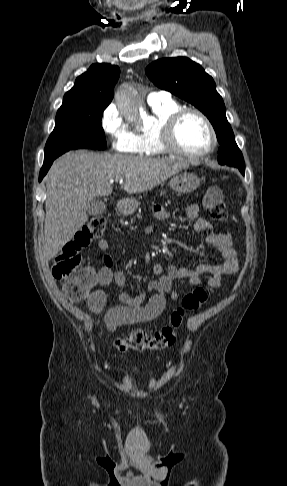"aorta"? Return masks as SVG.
<instances>
[{
    "label": "aorta",
    "instance_id": "762f6f07",
    "mask_svg": "<svg viewBox=\"0 0 287 486\" xmlns=\"http://www.w3.org/2000/svg\"><path fill=\"white\" fill-rule=\"evenodd\" d=\"M118 108L128 121L136 122L141 120L144 126H150L153 122V118L143 111L137 95L121 92Z\"/></svg>",
    "mask_w": 287,
    "mask_h": 486
}]
</instances>
